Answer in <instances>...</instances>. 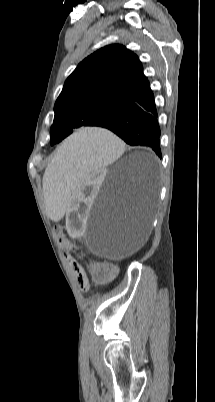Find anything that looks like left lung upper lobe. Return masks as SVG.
<instances>
[{
  "label": "left lung upper lobe",
  "mask_w": 215,
  "mask_h": 402,
  "mask_svg": "<svg viewBox=\"0 0 215 402\" xmlns=\"http://www.w3.org/2000/svg\"><path fill=\"white\" fill-rule=\"evenodd\" d=\"M147 81L139 58L123 45H108L91 54L67 78L55 102L51 145L76 128L96 126Z\"/></svg>",
  "instance_id": "left-lung-upper-lobe-1"
}]
</instances>
